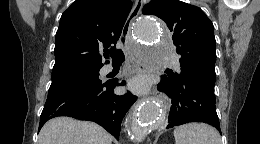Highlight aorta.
Listing matches in <instances>:
<instances>
[{"mask_svg": "<svg viewBox=\"0 0 260 144\" xmlns=\"http://www.w3.org/2000/svg\"><path fill=\"white\" fill-rule=\"evenodd\" d=\"M135 33L141 42L152 45V48L139 51L140 60L145 63H160L171 42L162 35L156 20L151 17L142 18L135 25ZM164 120L160 102L155 99L139 102L132 109L127 121L131 139L139 144L154 127L162 125Z\"/></svg>", "mask_w": 260, "mask_h": 144, "instance_id": "aorta-1", "label": "aorta"}]
</instances>
